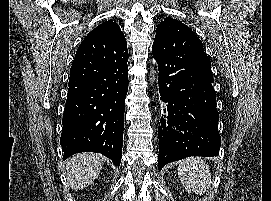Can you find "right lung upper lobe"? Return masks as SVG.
Instances as JSON below:
<instances>
[{"label": "right lung upper lobe", "instance_id": "cb5924a9", "mask_svg": "<svg viewBox=\"0 0 271 201\" xmlns=\"http://www.w3.org/2000/svg\"><path fill=\"white\" fill-rule=\"evenodd\" d=\"M98 38H111L116 40L118 43L127 47V43L120 27L112 21H105L98 25L84 38L89 40H96Z\"/></svg>", "mask_w": 271, "mask_h": 201}]
</instances>
